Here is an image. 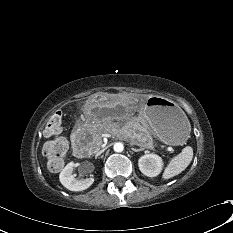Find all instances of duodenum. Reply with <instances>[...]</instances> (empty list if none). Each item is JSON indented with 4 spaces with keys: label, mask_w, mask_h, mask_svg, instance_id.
Instances as JSON below:
<instances>
[{
    "label": "duodenum",
    "mask_w": 233,
    "mask_h": 233,
    "mask_svg": "<svg viewBox=\"0 0 233 233\" xmlns=\"http://www.w3.org/2000/svg\"><path fill=\"white\" fill-rule=\"evenodd\" d=\"M72 148L76 156L83 157L86 155V148L77 135H74L72 138Z\"/></svg>",
    "instance_id": "410a0bca"
}]
</instances>
